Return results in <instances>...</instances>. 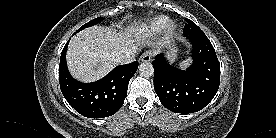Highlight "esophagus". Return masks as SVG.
<instances>
[{"label": "esophagus", "instance_id": "esophagus-1", "mask_svg": "<svg viewBox=\"0 0 276 138\" xmlns=\"http://www.w3.org/2000/svg\"><path fill=\"white\" fill-rule=\"evenodd\" d=\"M152 58H153V53L151 51H146L140 56L139 61L149 62L152 60Z\"/></svg>", "mask_w": 276, "mask_h": 138}]
</instances>
